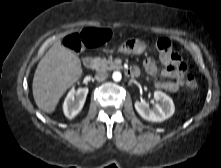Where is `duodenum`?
<instances>
[{
    "label": "duodenum",
    "instance_id": "duodenum-1",
    "mask_svg": "<svg viewBox=\"0 0 221 168\" xmlns=\"http://www.w3.org/2000/svg\"><path fill=\"white\" fill-rule=\"evenodd\" d=\"M83 65L87 68V69H93L96 66V62L95 59L91 56H86L83 58ZM126 75L129 77H134L138 75V72L136 69L134 68H130L126 71Z\"/></svg>",
    "mask_w": 221,
    "mask_h": 168
}]
</instances>
